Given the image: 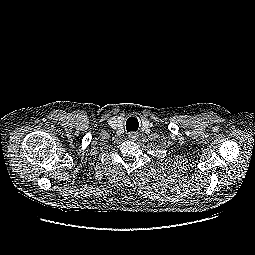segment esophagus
<instances>
[{"mask_svg":"<svg viewBox=\"0 0 255 255\" xmlns=\"http://www.w3.org/2000/svg\"><path fill=\"white\" fill-rule=\"evenodd\" d=\"M138 133L137 132H131V133H129V135H128V138L130 139V140H133V141H135L136 139H138Z\"/></svg>","mask_w":255,"mask_h":255,"instance_id":"obj_1","label":"esophagus"}]
</instances>
